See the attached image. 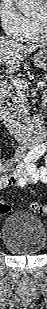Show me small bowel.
<instances>
[{"mask_svg":"<svg viewBox=\"0 0 47 309\" xmlns=\"http://www.w3.org/2000/svg\"><path fill=\"white\" fill-rule=\"evenodd\" d=\"M46 146L39 144L18 155L15 166L12 160H6L1 167L0 188L23 187L37 182L47 181L44 166H37L36 161L44 154Z\"/></svg>","mask_w":47,"mask_h":309,"instance_id":"obj_1","label":"small bowel"}]
</instances>
